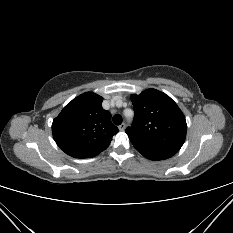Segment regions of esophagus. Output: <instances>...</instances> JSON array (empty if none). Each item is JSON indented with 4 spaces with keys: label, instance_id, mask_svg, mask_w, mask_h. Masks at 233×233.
Here are the masks:
<instances>
[{
    "label": "esophagus",
    "instance_id": "esophagus-1",
    "mask_svg": "<svg viewBox=\"0 0 233 233\" xmlns=\"http://www.w3.org/2000/svg\"><path fill=\"white\" fill-rule=\"evenodd\" d=\"M118 128H119L120 131H124L125 128H126L125 123L120 124V125L118 126Z\"/></svg>",
    "mask_w": 233,
    "mask_h": 233
}]
</instances>
